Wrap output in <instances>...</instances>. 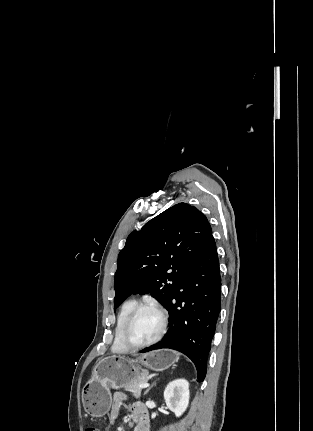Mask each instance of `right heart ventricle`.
Instances as JSON below:
<instances>
[{"label": "right heart ventricle", "mask_w": 313, "mask_h": 431, "mask_svg": "<svg viewBox=\"0 0 313 431\" xmlns=\"http://www.w3.org/2000/svg\"><path fill=\"white\" fill-rule=\"evenodd\" d=\"M137 304L138 303L135 298L127 299L121 304L116 318L114 340L112 343L113 352L123 353L129 350L122 342V330L127 317Z\"/></svg>", "instance_id": "obj_1"}]
</instances>
